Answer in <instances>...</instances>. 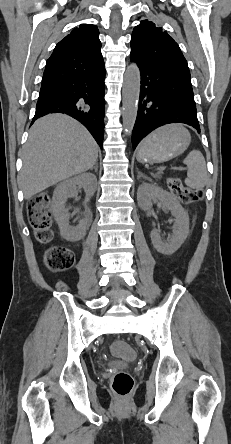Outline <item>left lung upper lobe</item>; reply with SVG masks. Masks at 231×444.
Here are the masks:
<instances>
[{"mask_svg": "<svg viewBox=\"0 0 231 444\" xmlns=\"http://www.w3.org/2000/svg\"><path fill=\"white\" fill-rule=\"evenodd\" d=\"M130 45L131 60L166 68L191 83L187 61L178 44L153 22L142 20L132 32Z\"/></svg>", "mask_w": 231, "mask_h": 444, "instance_id": "5c2ea615", "label": "left lung upper lobe"}]
</instances>
